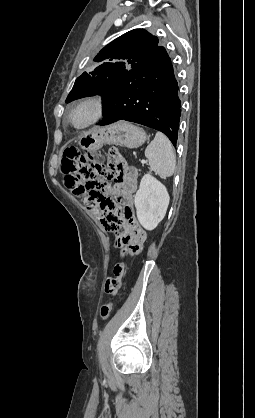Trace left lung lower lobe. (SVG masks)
Here are the masks:
<instances>
[{
  "label": "left lung lower lobe",
  "mask_w": 255,
  "mask_h": 418,
  "mask_svg": "<svg viewBox=\"0 0 255 418\" xmlns=\"http://www.w3.org/2000/svg\"><path fill=\"white\" fill-rule=\"evenodd\" d=\"M103 120L142 124L163 132L176 146L181 101L176 74L164 47L127 72L118 85L103 96Z\"/></svg>",
  "instance_id": "obj_1"
}]
</instances>
